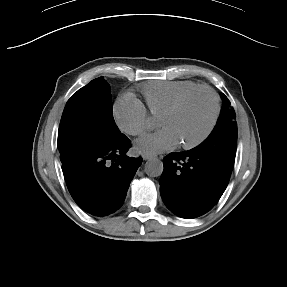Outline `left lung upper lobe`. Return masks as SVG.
Listing matches in <instances>:
<instances>
[{
	"label": "left lung upper lobe",
	"instance_id": "obj_1",
	"mask_svg": "<svg viewBox=\"0 0 287 287\" xmlns=\"http://www.w3.org/2000/svg\"><path fill=\"white\" fill-rule=\"evenodd\" d=\"M221 97L224 102L218 122L209 137L196 148L206 151L231 172L237 147V123L230 101L224 94Z\"/></svg>",
	"mask_w": 287,
	"mask_h": 287
}]
</instances>
